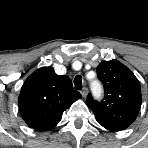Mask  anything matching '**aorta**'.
<instances>
[{"label": "aorta", "mask_w": 148, "mask_h": 148, "mask_svg": "<svg viewBox=\"0 0 148 148\" xmlns=\"http://www.w3.org/2000/svg\"><path fill=\"white\" fill-rule=\"evenodd\" d=\"M91 90H92L93 96L96 99H100L102 97L103 88L101 83L98 80L95 79L91 82Z\"/></svg>", "instance_id": "aorta-1"}]
</instances>
